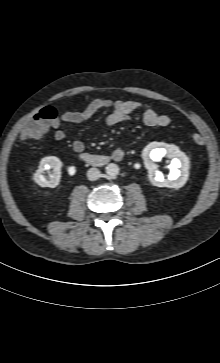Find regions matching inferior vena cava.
<instances>
[{"mask_svg": "<svg viewBox=\"0 0 220 363\" xmlns=\"http://www.w3.org/2000/svg\"><path fill=\"white\" fill-rule=\"evenodd\" d=\"M87 177L89 180L95 181L101 177V173H100L99 169H97V168H90L87 171Z\"/></svg>", "mask_w": 220, "mask_h": 363, "instance_id": "1", "label": "inferior vena cava"}]
</instances>
